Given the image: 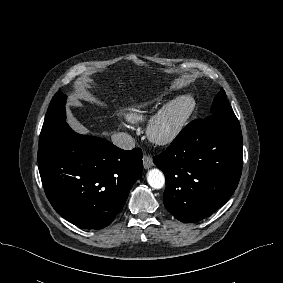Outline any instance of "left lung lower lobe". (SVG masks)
Wrapping results in <instances>:
<instances>
[{"label": "left lung lower lobe", "instance_id": "0a47b994", "mask_svg": "<svg viewBox=\"0 0 283 283\" xmlns=\"http://www.w3.org/2000/svg\"><path fill=\"white\" fill-rule=\"evenodd\" d=\"M243 142L234 113L211 114L189 123L159 156L165 175L163 201L178 220L200 221L235 191L242 172Z\"/></svg>", "mask_w": 283, "mask_h": 283}]
</instances>
